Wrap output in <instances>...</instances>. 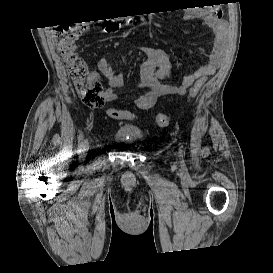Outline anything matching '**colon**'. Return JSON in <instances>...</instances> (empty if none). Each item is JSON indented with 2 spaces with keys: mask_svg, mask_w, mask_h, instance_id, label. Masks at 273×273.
Masks as SVG:
<instances>
[{
  "mask_svg": "<svg viewBox=\"0 0 273 273\" xmlns=\"http://www.w3.org/2000/svg\"><path fill=\"white\" fill-rule=\"evenodd\" d=\"M88 21L60 26L55 31V42L62 60L66 64L69 75L74 83L77 95L89 108H97L104 100V88L102 83L93 75L86 60L78 53L76 41L85 31ZM203 85V79L198 80L191 88L189 98L197 95ZM125 110L109 109L108 115L114 119H123ZM155 121L159 126L170 124V116L167 113L157 114Z\"/></svg>",
  "mask_w": 273,
  "mask_h": 273,
  "instance_id": "1",
  "label": "colon"
}]
</instances>
